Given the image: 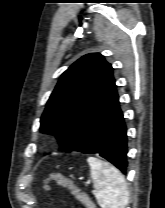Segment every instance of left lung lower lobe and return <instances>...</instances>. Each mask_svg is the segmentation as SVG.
I'll use <instances>...</instances> for the list:
<instances>
[{
  "label": "left lung lower lobe",
  "mask_w": 165,
  "mask_h": 208,
  "mask_svg": "<svg viewBox=\"0 0 165 208\" xmlns=\"http://www.w3.org/2000/svg\"><path fill=\"white\" fill-rule=\"evenodd\" d=\"M98 153L123 174L127 170V129L117 89L88 118L66 152Z\"/></svg>",
  "instance_id": "1"
}]
</instances>
